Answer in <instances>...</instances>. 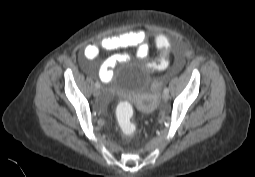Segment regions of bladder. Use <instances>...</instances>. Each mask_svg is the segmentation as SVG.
Listing matches in <instances>:
<instances>
[{
	"label": "bladder",
	"mask_w": 255,
	"mask_h": 177,
	"mask_svg": "<svg viewBox=\"0 0 255 177\" xmlns=\"http://www.w3.org/2000/svg\"><path fill=\"white\" fill-rule=\"evenodd\" d=\"M130 65L125 66V72ZM151 70L144 64L139 68L135 76H125L123 79L112 77L106 82V92L109 95L126 98L139 108L140 111H146V104L140 100L139 95L145 91Z\"/></svg>",
	"instance_id": "obj_1"
}]
</instances>
